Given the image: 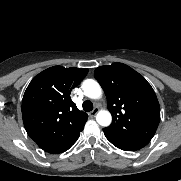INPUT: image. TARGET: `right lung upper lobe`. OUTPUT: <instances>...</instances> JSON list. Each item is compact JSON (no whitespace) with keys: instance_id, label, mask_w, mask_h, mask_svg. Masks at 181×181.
Returning <instances> with one entry per match:
<instances>
[{"instance_id":"cb5924a9","label":"right lung upper lobe","mask_w":181,"mask_h":181,"mask_svg":"<svg viewBox=\"0 0 181 181\" xmlns=\"http://www.w3.org/2000/svg\"><path fill=\"white\" fill-rule=\"evenodd\" d=\"M87 73V68L53 66L28 85L22 100L23 123L28 135L44 151H63L83 130L88 115L78 110L70 93Z\"/></svg>"}]
</instances>
